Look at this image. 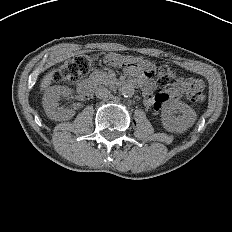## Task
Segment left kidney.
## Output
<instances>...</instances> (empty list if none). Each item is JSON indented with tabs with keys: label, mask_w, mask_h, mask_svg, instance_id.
Returning a JSON list of instances; mask_svg holds the SVG:
<instances>
[{
	"label": "left kidney",
	"mask_w": 232,
	"mask_h": 232,
	"mask_svg": "<svg viewBox=\"0 0 232 232\" xmlns=\"http://www.w3.org/2000/svg\"><path fill=\"white\" fill-rule=\"evenodd\" d=\"M180 115H175V113ZM197 118L196 112L188 104L182 101L168 103L161 112L163 127L169 132L183 133L192 127Z\"/></svg>",
	"instance_id": "1"
}]
</instances>
